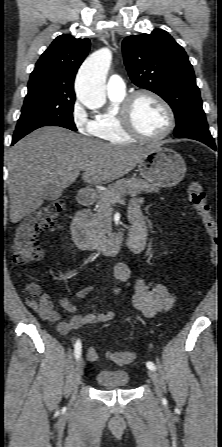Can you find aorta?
I'll return each instance as SVG.
<instances>
[{"label": "aorta", "mask_w": 222, "mask_h": 447, "mask_svg": "<svg viewBox=\"0 0 222 447\" xmlns=\"http://www.w3.org/2000/svg\"><path fill=\"white\" fill-rule=\"evenodd\" d=\"M112 61V52L101 48L91 54L80 67L76 77L77 99L87 108L96 110L105 106V79Z\"/></svg>", "instance_id": "1"}]
</instances>
